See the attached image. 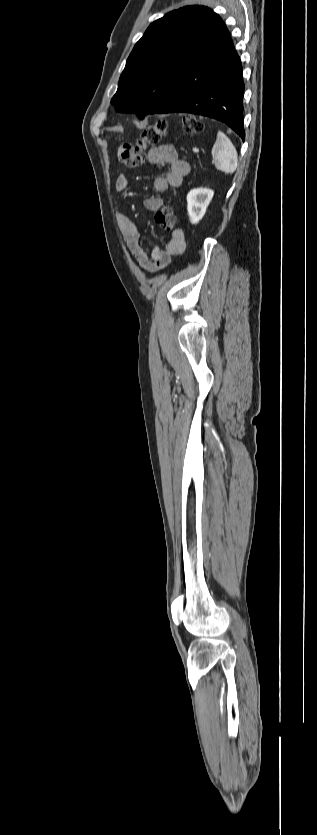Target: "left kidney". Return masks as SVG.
Listing matches in <instances>:
<instances>
[{
	"instance_id": "obj_1",
	"label": "left kidney",
	"mask_w": 317,
	"mask_h": 835,
	"mask_svg": "<svg viewBox=\"0 0 317 835\" xmlns=\"http://www.w3.org/2000/svg\"><path fill=\"white\" fill-rule=\"evenodd\" d=\"M214 192L208 188H194L187 195V210L192 223L200 221L206 213Z\"/></svg>"
}]
</instances>
